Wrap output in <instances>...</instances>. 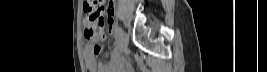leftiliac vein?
<instances>
[{
	"label": "left iliac vein",
	"mask_w": 267,
	"mask_h": 72,
	"mask_svg": "<svg viewBox=\"0 0 267 72\" xmlns=\"http://www.w3.org/2000/svg\"><path fill=\"white\" fill-rule=\"evenodd\" d=\"M129 44V36L126 32H122V37H121V48L123 51H126L128 48Z\"/></svg>",
	"instance_id": "4c4485c4"
}]
</instances>
